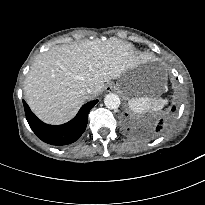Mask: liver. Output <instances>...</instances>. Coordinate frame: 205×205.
Listing matches in <instances>:
<instances>
[{
    "label": "liver",
    "mask_w": 205,
    "mask_h": 205,
    "mask_svg": "<svg viewBox=\"0 0 205 205\" xmlns=\"http://www.w3.org/2000/svg\"><path fill=\"white\" fill-rule=\"evenodd\" d=\"M140 62L130 43L114 37L55 46L38 55L30 67L25 99L45 123L63 124L96 97L105 82L118 79Z\"/></svg>",
    "instance_id": "obj_1"
}]
</instances>
